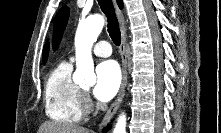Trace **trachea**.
Wrapping results in <instances>:
<instances>
[{
  "mask_svg": "<svg viewBox=\"0 0 221 133\" xmlns=\"http://www.w3.org/2000/svg\"><path fill=\"white\" fill-rule=\"evenodd\" d=\"M101 10L107 16L108 32L116 46L121 43V32L119 29L118 21L116 18L115 10L112 4V0H98Z\"/></svg>",
  "mask_w": 221,
  "mask_h": 133,
  "instance_id": "obj_1",
  "label": "trachea"
}]
</instances>
